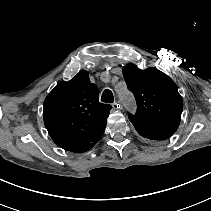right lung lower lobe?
I'll list each match as a JSON object with an SVG mask.
<instances>
[{"label":"right lung lower lobe","instance_id":"1","mask_svg":"<svg viewBox=\"0 0 211 211\" xmlns=\"http://www.w3.org/2000/svg\"><path fill=\"white\" fill-rule=\"evenodd\" d=\"M94 146V145H93ZM93 146L87 148V149H84V150H80V151H76L77 153H82V152H86L88 151L89 149H91Z\"/></svg>","mask_w":211,"mask_h":211}]
</instances>
